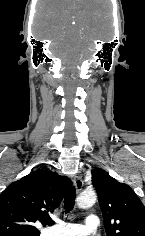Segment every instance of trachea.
<instances>
[{
    "instance_id": "3493384b",
    "label": "trachea",
    "mask_w": 145,
    "mask_h": 236,
    "mask_svg": "<svg viewBox=\"0 0 145 236\" xmlns=\"http://www.w3.org/2000/svg\"><path fill=\"white\" fill-rule=\"evenodd\" d=\"M75 197H76V190L74 187H71L66 192L64 198V208L66 213H69L70 211L73 210L75 205Z\"/></svg>"
}]
</instances>
